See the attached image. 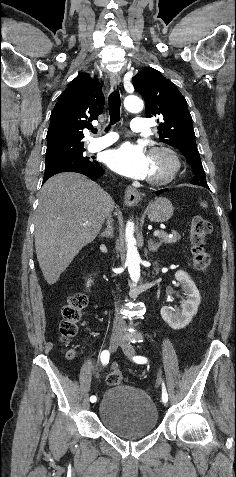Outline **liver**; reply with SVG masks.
<instances>
[{"instance_id":"liver-1","label":"liver","mask_w":236,"mask_h":477,"mask_svg":"<svg viewBox=\"0 0 236 477\" xmlns=\"http://www.w3.org/2000/svg\"><path fill=\"white\" fill-rule=\"evenodd\" d=\"M114 201L98 184L77 173H60L43 185L35 220V248L48 284L99 234Z\"/></svg>"}]
</instances>
